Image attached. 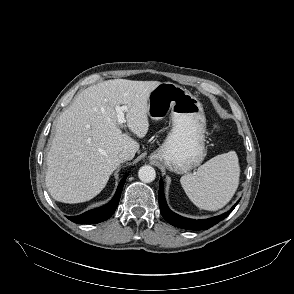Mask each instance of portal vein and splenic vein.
Masks as SVG:
<instances>
[{
	"label": "portal vein and splenic vein",
	"instance_id": "obj_1",
	"mask_svg": "<svg viewBox=\"0 0 294 294\" xmlns=\"http://www.w3.org/2000/svg\"><path fill=\"white\" fill-rule=\"evenodd\" d=\"M127 109H128L127 105H124V106L117 105L115 107V110H116V113H117V122H118L119 125L126 122L125 116H124V111H126Z\"/></svg>",
	"mask_w": 294,
	"mask_h": 294
}]
</instances>
